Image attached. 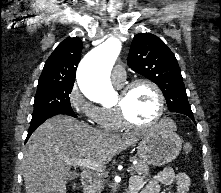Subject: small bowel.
I'll return each instance as SVG.
<instances>
[{
  "mask_svg": "<svg viewBox=\"0 0 221 193\" xmlns=\"http://www.w3.org/2000/svg\"><path fill=\"white\" fill-rule=\"evenodd\" d=\"M190 183L186 173H175L172 168L164 167L159 169L149 181L143 176L132 177L129 189L135 190L136 193H160L163 187L175 184V193H188Z\"/></svg>",
  "mask_w": 221,
  "mask_h": 193,
  "instance_id": "obj_1",
  "label": "small bowel"
}]
</instances>
